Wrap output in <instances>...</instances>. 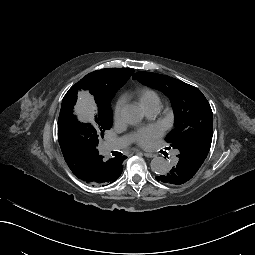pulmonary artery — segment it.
<instances>
[{
    "label": "pulmonary artery",
    "instance_id": "obj_1",
    "mask_svg": "<svg viewBox=\"0 0 255 255\" xmlns=\"http://www.w3.org/2000/svg\"><path fill=\"white\" fill-rule=\"evenodd\" d=\"M157 112H158V107H156V106L145 110V113L148 116H153V115L157 114ZM147 127H150V124H147ZM133 137L135 139H140L142 137V132L140 130H135L133 132ZM124 144H125V140L121 139L120 141H117V142H108L106 147H107L108 151H116V150H119L120 148H122L124 146ZM168 156H169L168 161L170 164L175 165L178 163L179 153L177 150H175V149L170 150L168 153Z\"/></svg>",
    "mask_w": 255,
    "mask_h": 255
}]
</instances>
